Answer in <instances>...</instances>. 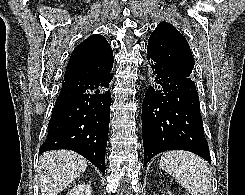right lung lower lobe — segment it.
Returning a JSON list of instances; mask_svg holds the SVG:
<instances>
[{
	"mask_svg": "<svg viewBox=\"0 0 245 195\" xmlns=\"http://www.w3.org/2000/svg\"><path fill=\"white\" fill-rule=\"evenodd\" d=\"M111 69L95 71L89 77L64 80L40 154L56 149L73 150L105 174Z\"/></svg>",
	"mask_w": 245,
	"mask_h": 195,
	"instance_id": "obj_1",
	"label": "right lung lower lobe"
}]
</instances>
